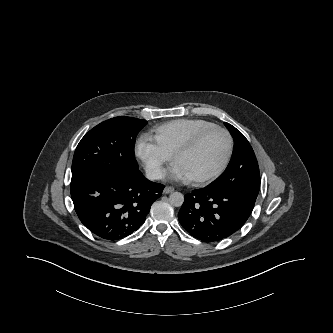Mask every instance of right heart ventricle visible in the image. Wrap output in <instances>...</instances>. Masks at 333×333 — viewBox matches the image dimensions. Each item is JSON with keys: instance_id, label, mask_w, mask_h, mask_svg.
Wrapping results in <instances>:
<instances>
[{"instance_id": "obj_1", "label": "right heart ventricle", "mask_w": 333, "mask_h": 333, "mask_svg": "<svg viewBox=\"0 0 333 333\" xmlns=\"http://www.w3.org/2000/svg\"><path fill=\"white\" fill-rule=\"evenodd\" d=\"M214 125L210 121L199 118L176 119L155 127L153 137L159 147L173 155L197 133Z\"/></svg>"}]
</instances>
